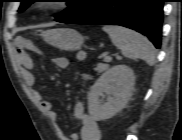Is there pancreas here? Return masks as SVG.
<instances>
[{
  "label": "pancreas",
  "instance_id": "cf45deb5",
  "mask_svg": "<svg viewBox=\"0 0 182 140\" xmlns=\"http://www.w3.org/2000/svg\"><path fill=\"white\" fill-rule=\"evenodd\" d=\"M108 68H109L108 64L99 63V64H97L95 70L98 73H102V72L106 71Z\"/></svg>",
  "mask_w": 182,
  "mask_h": 140
}]
</instances>
